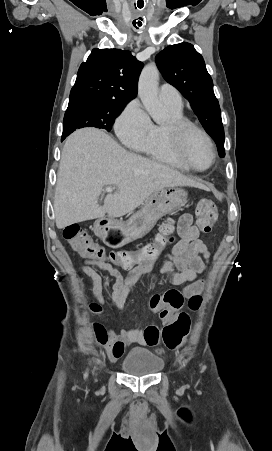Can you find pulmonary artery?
I'll return each instance as SVG.
<instances>
[{
    "label": "pulmonary artery",
    "instance_id": "pulmonary-artery-1",
    "mask_svg": "<svg viewBox=\"0 0 272 451\" xmlns=\"http://www.w3.org/2000/svg\"><path fill=\"white\" fill-rule=\"evenodd\" d=\"M159 94L160 98L164 102L169 104L172 108H174L177 111L182 110L183 108L182 97L175 88L167 84H164L160 87Z\"/></svg>",
    "mask_w": 272,
    "mask_h": 451
}]
</instances>
